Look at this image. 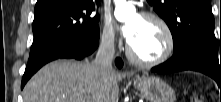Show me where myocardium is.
<instances>
[{
    "label": "myocardium",
    "mask_w": 221,
    "mask_h": 102,
    "mask_svg": "<svg viewBox=\"0 0 221 102\" xmlns=\"http://www.w3.org/2000/svg\"><path fill=\"white\" fill-rule=\"evenodd\" d=\"M142 18H145L147 20L153 21L157 23L161 29L163 30L166 38V47L164 52L157 58L153 60H144L140 58L133 48L131 47L130 43L127 44L126 51L128 58L135 64L142 66V67H154L158 66L164 62H166L171 55L173 54L174 48H175V39L173 32L168 25V23L159 15L152 13V12H143L141 14Z\"/></svg>",
    "instance_id": "myocardium-1"
}]
</instances>
